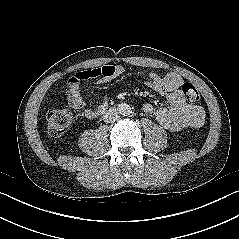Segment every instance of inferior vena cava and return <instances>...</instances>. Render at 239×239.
Segmentation results:
<instances>
[{"instance_id": "inferior-vena-cava-1", "label": "inferior vena cava", "mask_w": 239, "mask_h": 239, "mask_svg": "<svg viewBox=\"0 0 239 239\" xmlns=\"http://www.w3.org/2000/svg\"><path fill=\"white\" fill-rule=\"evenodd\" d=\"M119 118V112L117 109L115 108H110L109 110H107L105 112V114L103 115V120L106 123H112L115 122L116 120H118Z\"/></svg>"}]
</instances>
